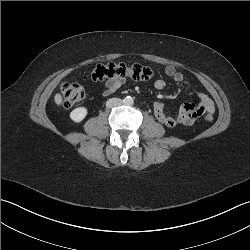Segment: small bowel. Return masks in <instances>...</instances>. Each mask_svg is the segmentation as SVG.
<instances>
[{
    "label": "small bowel",
    "mask_w": 250,
    "mask_h": 250,
    "mask_svg": "<svg viewBox=\"0 0 250 250\" xmlns=\"http://www.w3.org/2000/svg\"><path fill=\"white\" fill-rule=\"evenodd\" d=\"M165 75L173 79L176 83L184 85L192 93H194L199 99L197 105L192 103H184L177 115H168L164 110V105L160 101H156L153 104V112L156 119L167 127H175L177 125H192L199 117L209 112L214 113L215 107L212 99L205 93L194 88L188 81L185 80L184 75L179 72L174 66L167 65L164 69ZM125 82V79H108L104 84L103 94L111 95L118 90ZM166 86L164 79H157L154 83V87L157 90H163Z\"/></svg>",
    "instance_id": "small-bowel-1"
}]
</instances>
